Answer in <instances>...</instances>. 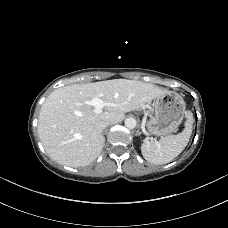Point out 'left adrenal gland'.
<instances>
[{"mask_svg":"<svg viewBox=\"0 0 228 228\" xmlns=\"http://www.w3.org/2000/svg\"><path fill=\"white\" fill-rule=\"evenodd\" d=\"M137 136H140L141 135V132L138 130L137 133H136Z\"/></svg>","mask_w":228,"mask_h":228,"instance_id":"left-adrenal-gland-1","label":"left adrenal gland"}]
</instances>
